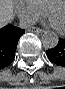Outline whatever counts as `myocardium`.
I'll return each instance as SVG.
<instances>
[{"label": "myocardium", "mask_w": 65, "mask_h": 89, "mask_svg": "<svg viewBox=\"0 0 65 89\" xmlns=\"http://www.w3.org/2000/svg\"><path fill=\"white\" fill-rule=\"evenodd\" d=\"M63 5L64 7H65V1H63V0H55V1H52V2H50L47 6H46V13L48 14V15H50V8L52 7V6H55V5ZM60 32H64V29H60L59 30Z\"/></svg>", "instance_id": "obj_1"}]
</instances>
